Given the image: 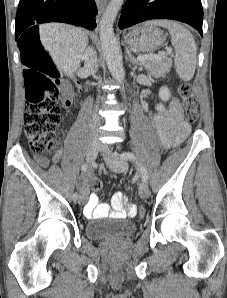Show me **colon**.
<instances>
[{"label": "colon", "instance_id": "obj_1", "mask_svg": "<svg viewBox=\"0 0 227 298\" xmlns=\"http://www.w3.org/2000/svg\"><path fill=\"white\" fill-rule=\"evenodd\" d=\"M24 70L26 103L24 107L25 136L30 147L37 153H50L57 150L55 129L59 123L62 104L59 91L50 76L55 75L53 65L42 52H33L25 57ZM50 75V76H49ZM179 94L185 109L188 123L199 119L198 101L189 83L179 85ZM94 190L102 188V182L94 179ZM140 218H145L144 208H139Z\"/></svg>", "mask_w": 227, "mask_h": 298}]
</instances>
